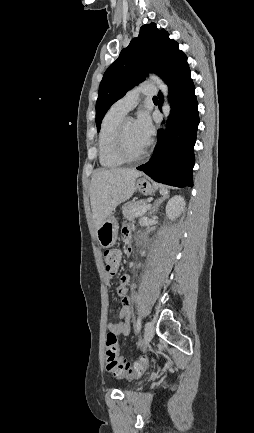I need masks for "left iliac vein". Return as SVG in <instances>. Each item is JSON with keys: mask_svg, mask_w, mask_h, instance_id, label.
<instances>
[{"mask_svg": "<svg viewBox=\"0 0 254 433\" xmlns=\"http://www.w3.org/2000/svg\"><path fill=\"white\" fill-rule=\"evenodd\" d=\"M154 336V324L151 321L146 322L144 329V337L141 343L142 346H146L150 343Z\"/></svg>", "mask_w": 254, "mask_h": 433, "instance_id": "obj_1", "label": "left iliac vein"}]
</instances>
